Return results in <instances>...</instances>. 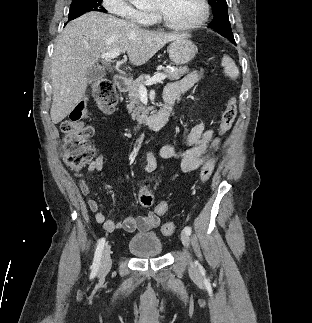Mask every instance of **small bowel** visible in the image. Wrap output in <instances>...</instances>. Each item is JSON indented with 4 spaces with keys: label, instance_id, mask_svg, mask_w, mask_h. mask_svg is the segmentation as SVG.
I'll list each match as a JSON object with an SVG mask.
<instances>
[{
    "label": "small bowel",
    "instance_id": "1",
    "mask_svg": "<svg viewBox=\"0 0 312 323\" xmlns=\"http://www.w3.org/2000/svg\"><path fill=\"white\" fill-rule=\"evenodd\" d=\"M201 80V74L198 71H192L178 81L170 83L165 90L164 98H168L173 103L182 94L188 91L192 86ZM219 140L214 136L212 129H206L203 123L195 125L187 136L186 147L177 149L175 146L167 144L161 147L159 154L164 160H179L184 172L191 173L203 166L212 158L213 151L217 148ZM103 167V159L95 158L88 165L89 172H99ZM157 167L156 153L152 150L146 153V172H154ZM79 190L83 196L90 194L89 184L80 180ZM89 209L95 213V219L103 225L107 232H113L122 228L127 232L149 231L159 226L160 218L153 211L146 215H128L124 216L120 223H114L108 219L101 211L99 203L95 199L87 201Z\"/></svg>",
    "mask_w": 312,
    "mask_h": 323
}]
</instances>
